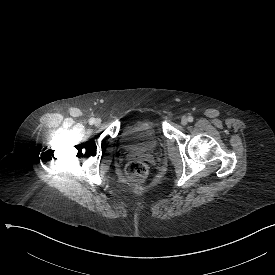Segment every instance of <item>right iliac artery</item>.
Masks as SVG:
<instances>
[{"label":"right iliac artery","mask_w":275,"mask_h":275,"mask_svg":"<svg viewBox=\"0 0 275 275\" xmlns=\"http://www.w3.org/2000/svg\"><path fill=\"white\" fill-rule=\"evenodd\" d=\"M94 121H95V119H94V118H91V119L89 120V123H90V124H93Z\"/></svg>","instance_id":"right-iliac-artery-1"}]
</instances>
